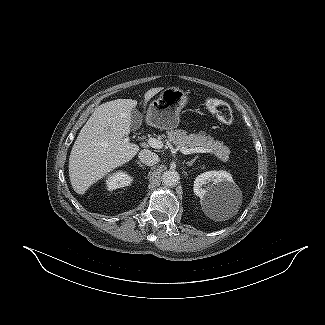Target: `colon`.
I'll return each instance as SVG.
<instances>
[{
	"label": "colon",
	"mask_w": 325,
	"mask_h": 325,
	"mask_svg": "<svg viewBox=\"0 0 325 325\" xmlns=\"http://www.w3.org/2000/svg\"><path fill=\"white\" fill-rule=\"evenodd\" d=\"M206 107L216 115L221 123L230 125L233 122L232 109L226 102L216 98H209L206 100Z\"/></svg>",
	"instance_id": "colon-1"
}]
</instances>
